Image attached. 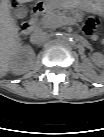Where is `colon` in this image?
Wrapping results in <instances>:
<instances>
[{"label":"colon","instance_id":"1","mask_svg":"<svg viewBox=\"0 0 104 137\" xmlns=\"http://www.w3.org/2000/svg\"><path fill=\"white\" fill-rule=\"evenodd\" d=\"M97 25V20L94 17H89L85 23V32L91 34Z\"/></svg>","mask_w":104,"mask_h":137}]
</instances>
